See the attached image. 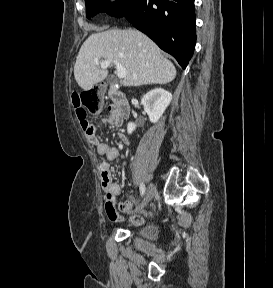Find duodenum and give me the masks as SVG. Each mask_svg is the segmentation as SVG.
I'll return each mask as SVG.
<instances>
[{"mask_svg":"<svg viewBox=\"0 0 273 288\" xmlns=\"http://www.w3.org/2000/svg\"><path fill=\"white\" fill-rule=\"evenodd\" d=\"M108 96L114 104L115 114L122 120L127 119L130 114V105L125 95L119 89L110 87Z\"/></svg>","mask_w":273,"mask_h":288,"instance_id":"1","label":"duodenum"}]
</instances>
